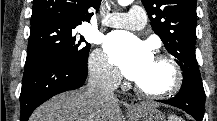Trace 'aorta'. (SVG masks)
<instances>
[{"label": "aorta", "mask_w": 217, "mask_h": 121, "mask_svg": "<svg viewBox=\"0 0 217 121\" xmlns=\"http://www.w3.org/2000/svg\"><path fill=\"white\" fill-rule=\"evenodd\" d=\"M133 0H118L119 5L128 6L132 3Z\"/></svg>", "instance_id": "obj_1"}]
</instances>
